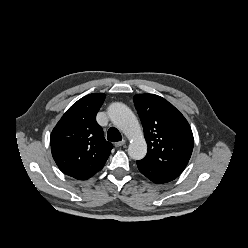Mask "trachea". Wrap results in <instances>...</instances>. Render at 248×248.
Returning <instances> with one entry per match:
<instances>
[{"label": "trachea", "mask_w": 248, "mask_h": 248, "mask_svg": "<svg viewBox=\"0 0 248 248\" xmlns=\"http://www.w3.org/2000/svg\"><path fill=\"white\" fill-rule=\"evenodd\" d=\"M107 139L111 142H118L122 140V136L118 129H116L115 127H111L107 132Z\"/></svg>", "instance_id": "trachea-1"}]
</instances>
